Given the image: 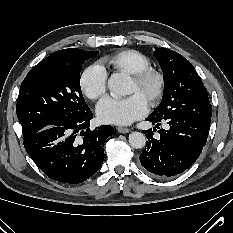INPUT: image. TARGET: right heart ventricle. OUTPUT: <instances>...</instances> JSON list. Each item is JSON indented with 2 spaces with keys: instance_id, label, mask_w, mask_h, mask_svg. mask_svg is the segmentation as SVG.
I'll use <instances>...</instances> for the list:
<instances>
[{
  "instance_id": "1",
  "label": "right heart ventricle",
  "mask_w": 233,
  "mask_h": 233,
  "mask_svg": "<svg viewBox=\"0 0 233 233\" xmlns=\"http://www.w3.org/2000/svg\"><path fill=\"white\" fill-rule=\"evenodd\" d=\"M102 62L130 75L151 66L150 60L144 54L133 49L118 51L105 57Z\"/></svg>"
}]
</instances>
